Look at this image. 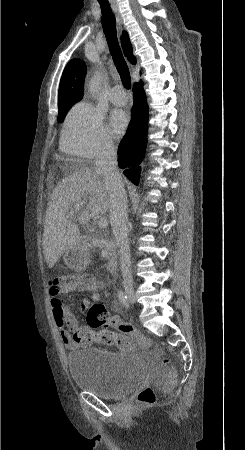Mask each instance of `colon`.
<instances>
[{"mask_svg":"<svg viewBox=\"0 0 245 450\" xmlns=\"http://www.w3.org/2000/svg\"><path fill=\"white\" fill-rule=\"evenodd\" d=\"M54 284L63 290L75 287L91 288L90 278L80 273L61 276ZM87 323L90 328H80L76 332V338L81 343L88 344L93 341H99L107 345H116L123 350L135 344L142 347L149 345V340L146 337L136 331L130 324L111 316L105 305L99 301H94L88 306ZM113 325L117 326L121 333L110 330ZM94 328H103V330L95 332L92 330ZM169 362L170 360L167 357H164L162 360L163 365H168ZM175 382V373L170 371L165 379V390H170L175 385ZM137 401L142 404L154 403L156 397L152 388H141L137 394Z\"/></svg>","mask_w":245,"mask_h":450,"instance_id":"obj_1","label":"colon"}]
</instances>
